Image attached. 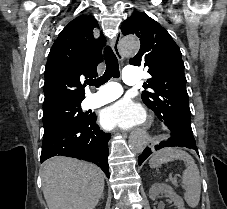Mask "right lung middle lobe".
Segmentation results:
<instances>
[{
  "label": "right lung middle lobe",
  "mask_w": 227,
  "mask_h": 209,
  "mask_svg": "<svg viewBox=\"0 0 227 209\" xmlns=\"http://www.w3.org/2000/svg\"><path fill=\"white\" fill-rule=\"evenodd\" d=\"M80 101L53 102L43 106V125L46 137L57 130L84 121L86 113L80 107Z\"/></svg>",
  "instance_id": "1"
}]
</instances>
